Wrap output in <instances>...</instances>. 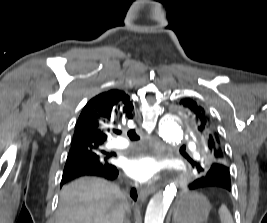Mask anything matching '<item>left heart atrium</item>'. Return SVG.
Returning <instances> with one entry per match:
<instances>
[{
  "label": "left heart atrium",
  "mask_w": 267,
  "mask_h": 223,
  "mask_svg": "<svg viewBox=\"0 0 267 223\" xmlns=\"http://www.w3.org/2000/svg\"><path fill=\"white\" fill-rule=\"evenodd\" d=\"M124 168L133 179L146 182L156 176L161 168V163L147 155H136L126 160Z\"/></svg>",
  "instance_id": "39dd6f15"
}]
</instances>
